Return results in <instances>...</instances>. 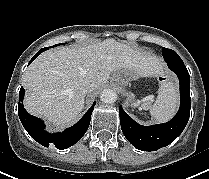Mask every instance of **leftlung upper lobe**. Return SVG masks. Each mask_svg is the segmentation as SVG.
<instances>
[{"label": "left lung upper lobe", "mask_w": 209, "mask_h": 179, "mask_svg": "<svg viewBox=\"0 0 209 179\" xmlns=\"http://www.w3.org/2000/svg\"><path fill=\"white\" fill-rule=\"evenodd\" d=\"M163 56L165 58V61H176L180 59L175 51L167 48H163Z\"/></svg>", "instance_id": "1"}]
</instances>
